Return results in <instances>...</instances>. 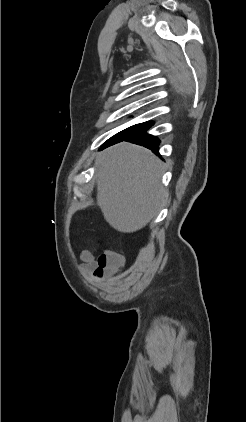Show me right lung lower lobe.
<instances>
[{"label":"right lung lower lobe","mask_w":246,"mask_h":422,"mask_svg":"<svg viewBox=\"0 0 246 422\" xmlns=\"http://www.w3.org/2000/svg\"><path fill=\"white\" fill-rule=\"evenodd\" d=\"M152 126V125H151ZM147 127L144 130L130 136L129 138L124 139L123 141L132 142L141 146H144L150 150H152L154 153H158L160 140L157 137H154L153 135L147 134L146 131L151 127ZM121 142V141H119ZM118 143V142H116ZM115 143H112L110 145L103 146V148L111 146Z\"/></svg>","instance_id":"98d812e1"}]
</instances>
